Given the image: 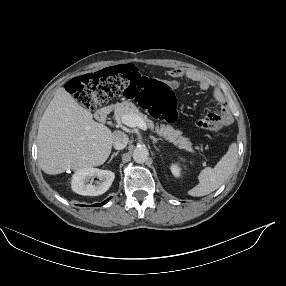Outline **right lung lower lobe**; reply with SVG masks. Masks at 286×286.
Instances as JSON below:
<instances>
[{
  "label": "right lung lower lobe",
  "mask_w": 286,
  "mask_h": 286,
  "mask_svg": "<svg viewBox=\"0 0 286 286\" xmlns=\"http://www.w3.org/2000/svg\"><path fill=\"white\" fill-rule=\"evenodd\" d=\"M110 198H108L107 200H105L104 202H102V203H97V204H94L93 206H102V205H104V204H106L107 202H108V200H109Z\"/></svg>",
  "instance_id": "1"
}]
</instances>
